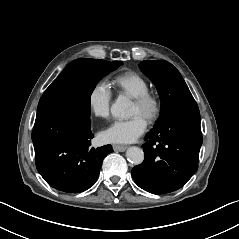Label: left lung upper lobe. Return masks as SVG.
Returning a JSON list of instances; mask_svg holds the SVG:
<instances>
[{
	"label": "left lung upper lobe",
	"mask_w": 239,
	"mask_h": 239,
	"mask_svg": "<svg viewBox=\"0 0 239 239\" xmlns=\"http://www.w3.org/2000/svg\"><path fill=\"white\" fill-rule=\"evenodd\" d=\"M139 67L155 84L160 95L161 116L156 126L177 110L197 106L183 77L171 63L164 60H147L142 61Z\"/></svg>",
	"instance_id": "5c2ea615"
}]
</instances>
